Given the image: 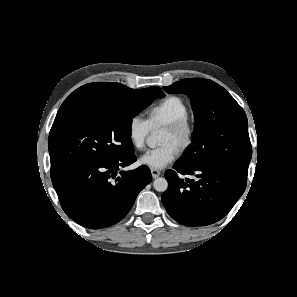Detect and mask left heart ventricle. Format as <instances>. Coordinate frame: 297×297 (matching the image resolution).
Instances as JSON below:
<instances>
[{
	"instance_id": "obj_1",
	"label": "left heart ventricle",
	"mask_w": 297,
	"mask_h": 297,
	"mask_svg": "<svg viewBox=\"0 0 297 297\" xmlns=\"http://www.w3.org/2000/svg\"><path fill=\"white\" fill-rule=\"evenodd\" d=\"M178 137L173 134L172 132L164 129L163 131V135H162V138H161V144H165V143H174L178 146Z\"/></svg>"
}]
</instances>
